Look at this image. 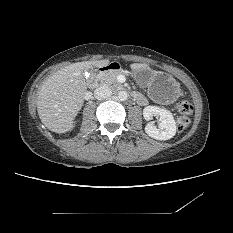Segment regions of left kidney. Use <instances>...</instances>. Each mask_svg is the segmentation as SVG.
<instances>
[{"mask_svg":"<svg viewBox=\"0 0 233 233\" xmlns=\"http://www.w3.org/2000/svg\"><path fill=\"white\" fill-rule=\"evenodd\" d=\"M143 116L147 121L152 120L154 116L160 117L158 128L153 122H148L145 126V132L150 137L156 140H169L176 134V122L170 111L157 106H147L143 109Z\"/></svg>","mask_w":233,"mask_h":233,"instance_id":"left-kidney-1","label":"left kidney"}]
</instances>
